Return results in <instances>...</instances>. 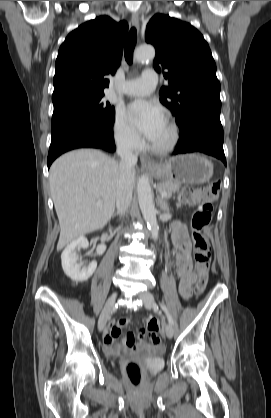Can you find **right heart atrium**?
Instances as JSON below:
<instances>
[{
    "instance_id": "obj_1",
    "label": "right heart atrium",
    "mask_w": 271,
    "mask_h": 418,
    "mask_svg": "<svg viewBox=\"0 0 271 418\" xmlns=\"http://www.w3.org/2000/svg\"><path fill=\"white\" fill-rule=\"evenodd\" d=\"M113 137L119 149L125 152H135L141 145L137 131L126 121L122 112L117 111L112 125Z\"/></svg>"
}]
</instances>
